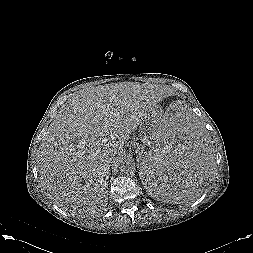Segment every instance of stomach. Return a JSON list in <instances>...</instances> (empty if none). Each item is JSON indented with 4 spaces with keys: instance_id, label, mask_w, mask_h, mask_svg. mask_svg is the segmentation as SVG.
Wrapping results in <instances>:
<instances>
[{
    "instance_id": "obj_1",
    "label": "stomach",
    "mask_w": 253,
    "mask_h": 253,
    "mask_svg": "<svg viewBox=\"0 0 253 253\" xmlns=\"http://www.w3.org/2000/svg\"><path fill=\"white\" fill-rule=\"evenodd\" d=\"M163 112L159 107L150 113L143 119L139 129L140 138L143 144L150 145L154 132L157 128L160 118L163 116Z\"/></svg>"
}]
</instances>
